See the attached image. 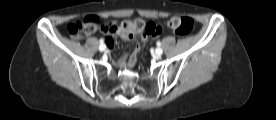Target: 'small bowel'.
Segmentation results:
<instances>
[{
    "instance_id": "obj_1",
    "label": "small bowel",
    "mask_w": 276,
    "mask_h": 120,
    "mask_svg": "<svg viewBox=\"0 0 276 120\" xmlns=\"http://www.w3.org/2000/svg\"><path fill=\"white\" fill-rule=\"evenodd\" d=\"M147 39V37L145 36H142V40L145 41ZM107 46L109 48L113 47L114 45V40L113 38L109 37V38H106L105 40ZM140 50V46L139 45H136L134 51L132 52V54L130 55V57L127 59L126 56L123 57V62H124V65L127 67V68H132L134 67L135 63H136V60H137V54Z\"/></svg>"
}]
</instances>
